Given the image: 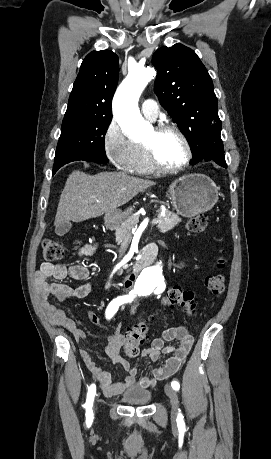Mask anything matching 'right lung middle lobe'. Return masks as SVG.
I'll use <instances>...</instances> for the list:
<instances>
[{
    "label": "right lung middle lobe",
    "instance_id": "obj_1",
    "mask_svg": "<svg viewBox=\"0 0 271 459\" xmlns=\"http://www.w3.org/2000/svg\"><path fill=\"white\" fill-rule=\"evenodd\" d=\"M111 115L65 114L54 162L74 154L94 156L108 162L104 140Z\"/></svg>",
    "mask_w": 271,
    "mask_h": 459
}]
</instances>
